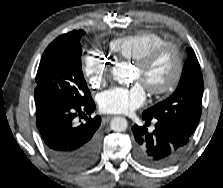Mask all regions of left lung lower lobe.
<instances>
[{"label":"left lung lower lobe","instance_id":"0a47b994","mask_svg":"<svg viewBox=\"0 0 223 188\" xmlns=\"http://www.w3.org/2000/svg\"><path fill=\"white\" fill-rule=\"evenodd\" d=\"M146 124L151 119L142 114ZM155 129L149 132L145 126L134 125L135 157L143 165L162 168L176 162L185 152L190 136L162 121L155 120Z\"/></svg>","mask_w":223,"mask_h":188}]
</instances>
